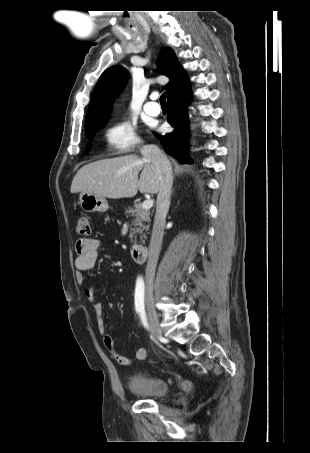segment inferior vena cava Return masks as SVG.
<instances>
[{
    "label": "inferior vena cava",
    "instance_id": "1",
    "mask_svg": "<svg viewBox=\"0 0 310 453\" xmlns=\"http://www.w3.org/2000/svg\"><path fill=\"white\" fill-rule=\"evenodd\" d=\"M144 160L150 161L160 173V188L157 195L156 213L149 246L146 275L154 276L161 250L166 215L170 206V195L173 184V172L167 156L156 145H145L141 148Z\"/></svg>",
    "mask_w": 310,
    "mask_h": 453
}]
</instances>
